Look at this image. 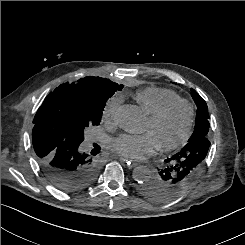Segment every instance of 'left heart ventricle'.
<instances>
[{"label":"left heart ventricle","mask_w":245,"mask_h":245,"mask_svg":"<svg viewBox=\"0 0 245 245\" xmlns=\"http://www.w3.org/2000/svg\"><path fill=\"white\" fill-rule=\"evenodd\" d=\"M187 119V108L177 105L158 122L153 123L148 119L143 132L151 136L156 146L170 144L181 137Z\"/></svg>","instance_id":"left-heart-ventricle-1"}]
</instances>
